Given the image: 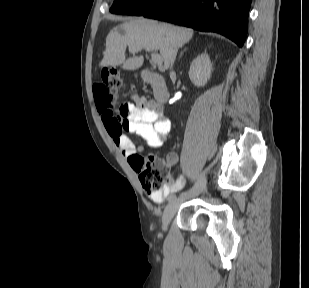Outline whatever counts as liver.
I'll return each instance as SVG.
<instances>
[{
    "label": "liver",
    "instance_id": "1",
    "mask_svg": "<svg viewBox=\"0 0 309 288\" xmlns=\"http://www.w3.org/2000/svg\"><path fill=\"white\" fill-rule=\"evenodd\" d=\"M193 37V30L158 23L144 18L130 19L113 28L106 38V49L100 63L103 67L120 65L124 70H136L143 64V56L126 59V47L160 51L165 69L170 66V54L175 45L183 46Z\"/></svg>",
    "mask_w": 309,
    "mask_h": 288
}]
</instances>
